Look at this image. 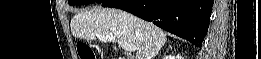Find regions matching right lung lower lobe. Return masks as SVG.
<instances>
[{
	"mask_svg": "<svg viewBox=\"0 0 261 59\" xmlns=\"http://www.w3.org/2000/svg\"><path fill=\"white\" fill-rule=\"evenodd\" d=\"M102 6L128 11L201 47L209 27L212 0H105Z\"/></svg>",
	"mask_w": 261,
	"mask_h": 59,
	"instance_id": "right-lung-lower-lobe-1",
	"label": "right lung lower lobe"
}]
</instances>
